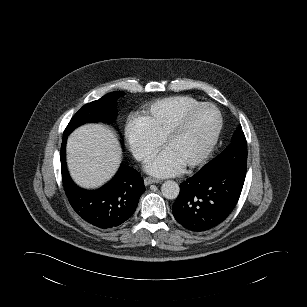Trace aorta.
<instances>
[{
	"label": "aorta",
	"mask_w": 307,
	"mask_h": 307,
	"mask_svg": "<svg viewBox=\"0 0 307 307\" xmlns=\"http://www.w3.org/2000/svg\"><path fill=\"white\" fill-rule=\"evenodd\" d=\"M162 195L167 199H176L179 195V185L172 180L165 181L161 186Z\"/></svg>",
	"instance_id": "1"
}]
</instances>
